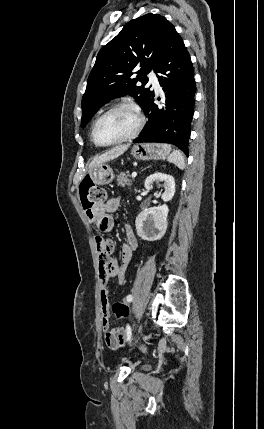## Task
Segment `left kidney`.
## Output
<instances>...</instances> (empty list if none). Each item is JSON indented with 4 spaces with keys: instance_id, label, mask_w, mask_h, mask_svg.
<instances>
[{
    "instance_id": "obj_1",
    "label": "left kidney",
    "mask_w": 264,
    "mask_h": 429,
    "mask_svg": "<svg viewBox=\"0 0 264 429\" xmlns=\"http://www.w3.org/2000/svg\"><path fill=\"white\" fill-rule=\"evenodd\" d=\"M155 181L164 182L165 192L161 195V198L164 202L170 201L175 193L174 178L168 174L156 172L146 178L145 188L150 190L151 184ZM168 212L169 209L166 204L148 208L140 212L135 221L138 236L146 241L161 239L167 229Z\"/></svg>"
}]
</instances>
